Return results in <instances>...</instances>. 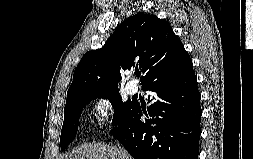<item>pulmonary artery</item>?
Segmentation results:
<instances>
[{"label":"pulmonary artery","mask_w":253,"mask_h":159,"mask_svg":"<svg viewBox=\"0 0 253 159\" xmlns=\"http://www.w3.org/2000/svg\"><path fill=\"white\" fill-rule=\"evenodd\" d=\"M127 93L130 95H134L137 93L139 86L135 82H129L126 86Z\"/></svg>","instance_id":"pulmonary-artery-1"}]
</instances>
